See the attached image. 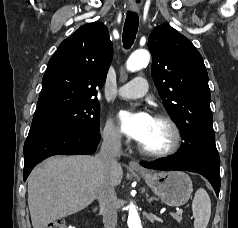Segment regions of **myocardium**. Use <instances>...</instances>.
Wrapping results in <instances>:
<instances>
[{"label":"myocardium","instance_id":"obj_1","mask_svg":"<svg viewBox=\"0 0 238 228\" xmlns=\"http://www.w3.org/2000/svg\"><path fill=\"white\" fill-rule=\"evenodd\" d=\"M153 119L163 121L169 126L172 134L171 144L166 149L153 151L146 149L138 142L137 147L139 152L151 158H164L173 155L178 151L181 144V132L178 125L169 115L164 113H156Z\"/></svg>","mask_w":238,"mask_h":228}]
</instances>
